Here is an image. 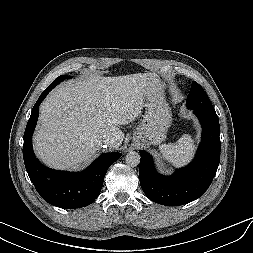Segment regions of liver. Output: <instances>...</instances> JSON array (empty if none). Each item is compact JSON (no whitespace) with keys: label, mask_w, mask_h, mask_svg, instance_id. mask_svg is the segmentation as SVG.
Wrapping results in <instances>:
<instances>
[{"label":"liver","mask_w":253,"mask_h":253,"mask_svg":"<svg viewBox=\"0 0 253 253\" xmlns=\"http://www.w3.org/2000/svg\"><path fill=\"white\" fill-rule=\"evenodd\" d=\"M159 83L156 74L137 73L60 84L40 106L36 155L49 167L76 169L102 148L103 135L114 138L109 148H119L124 138L119 126L141 114L147 89Z\"/></svg>","instance_id":"liver-1"}]
</instances>
